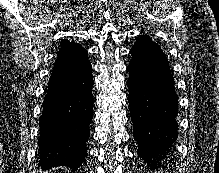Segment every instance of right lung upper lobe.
I'll return each instance as SVG.
<instances>
[{
	"label": "right lung upper lobe",
	"instance_id": "right-lung-upper-lobe-1",
	"mask_svg": "<svg viewBox=\"0 0 219 173\" xmlns=\"http://www.w3.org/2000/svg\"><path fill=\"white\" fill-rule=\"evenodd\" d=\"M86 50L80 45L74 42L69 43L68 40L61 42V48L58 52V58L61 60H71L72 57L83 54Z\"/></svg>",
	"mask_w": 219,
	"mask_h": 173
}]
</instances>
